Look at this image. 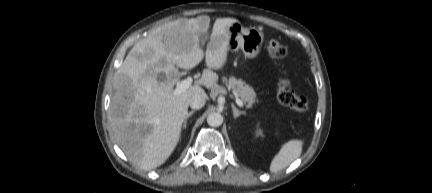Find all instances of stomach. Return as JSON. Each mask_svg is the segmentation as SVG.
Returning <instances> with one entry per match:
<instances>
[{
  "label": "stomach",
  "instance_id": "stomach-1",
  "mask_svg": "<svg viewBox=\"0 0 432 193\" xmlns=\"http://www.w3.org/2000/svg\"><path fill=\"white\" fill-rule=\"evenodd\" d=\"M228 48L236 51L242 50L245 57L253 59L261 50L264 42L263 33L256 28H245L237 21L227 27Z\"/></svg>",
  "mask_w": 432,
  "mask_h": 193
}]
</instances>
